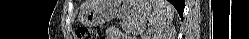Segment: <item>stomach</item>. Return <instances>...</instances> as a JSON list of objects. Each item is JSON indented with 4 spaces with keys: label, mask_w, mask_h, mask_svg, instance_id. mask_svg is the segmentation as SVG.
<instances>
[{
    "label": "stomach",
    "mask_w": 249,
    "mask_h": 39,
    "mask_svg": "<svg viewBox=\"0 0 249 39\" xmlns=\"http://www.w3.org/2000/svg\"><path fill=\"white\" fill-rule=\"evenodd\" d=\"M150 11L147 0H97L81 14L79 21L88 27L102 25L114 18L143 22Z\"/></svg>",
    "instance_id": "0dacf381"
}]
</instances>
